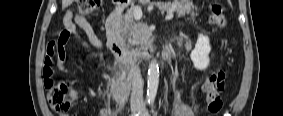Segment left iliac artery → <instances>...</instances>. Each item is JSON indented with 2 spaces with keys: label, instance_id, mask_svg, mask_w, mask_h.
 I'll return each mask as SVG.
<instances>
[{
  "label": "left iliac artery",
  "instance_id": "left-iliac-artery-1",
  "mask_svg": "<svg viewBox=\"0 0 283 116\" xmlns=\"http://www.w3.org/2000/svg\"><path fill=\"white\" fill-rule=\"evenodd\" d=\"M151 112H152L153 115H157V112L154 110L153 103L151 104Z\"/></svg>",
  "mask_w": 283,
  "mask_h": 116
}]
</instances>
